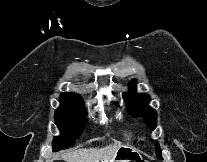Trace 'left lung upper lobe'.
<instances>
[{"mask_svg":"<svg viewBox=\"0 0 207 162\" xmlns=\"http://www.w3.org/2000/svg\"><path fill=\"white\" fill-rule=\"evenodd\" d=\"M136 82L132 80L131 90L126 96L127 112L132 117H143L147 126L154 130L157 123V113L154 109L148 106L150 97L144 93H137L135 89ZM118 105L117 103H115ZM156 155L159 160H162L161 150L157 141H155Z\"/></svg>","mask_w":207,"mask_h":162,"instance_id":"5c2ea615","label":"left lung upper lobe"}]
</instances>
